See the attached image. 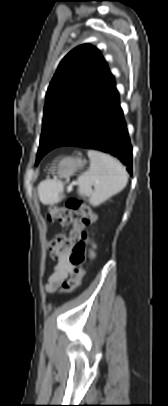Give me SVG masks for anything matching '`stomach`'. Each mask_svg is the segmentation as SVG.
<instances>
[{"mask_svg":"<svg viewBox=\"0 0 168 406\" xmlns=\"http://www.w3.org/2000/svg\"><path fill=\"white\" fill-rule=\"evenodd\" d=\"M86 161L78 157H63L52 166V173L60 178H70L78 169L84 167Z\"/></svg>","mask_w":168,"mask_h":406,"instance_id":"obj_1","label":"stomach"}]
</instances>
